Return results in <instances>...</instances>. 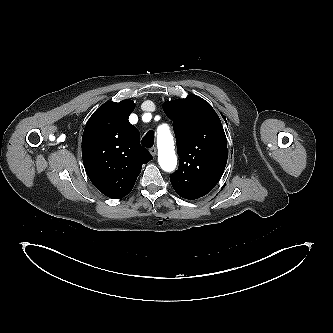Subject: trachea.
<instances>
[{
    "label": "trachea",
    "instance_id": "3493384b",
    "mask_svg": "<svg viewBox=\"0 0 333 333\" xmlns=\"http://www.w3.org/2000/svg\"><path fill=\"white\" fill-rule=\"evenodd\" d=\"M154 144V132L148 131L145 136L142 138V145L144 147L150 148Z\"/></svg>",
    "mask_w": 333,
    "mask_h": 333
}]
</instances>
